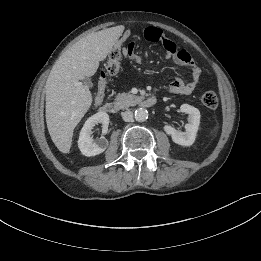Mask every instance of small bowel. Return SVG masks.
I'll list each match as a JSON object with an SVG mask.
<instances>
[{"label": "small bowel", "mask_w": 261, "mask_h": 261, "mask_svg": "<svg viewBox=\"0 0 261 261\" xmlns=\"http://www.w3.org/2000/svg\"><path fill=\"white\" fill-rule=\"evenodd\" d=\"M143 36L146 40L150 42H161L165 49V57L172 59L173 62L178 66H185L192 70L191 79L186 82L183 79L177 77L171 81L168 86V90L172 93L189 95L196 88L199 78L200 69L197 67L192 56L184 49H180L174 41L166 37L162 30L156 27H147L143 31ZM134 44L130 43L126 48H124V53L130 56L134 55ZM105 91L97 92L94 103L99 105L104 99Z\"/></svg>", "instance_id": "small-bowel-1"}]
</instances>
